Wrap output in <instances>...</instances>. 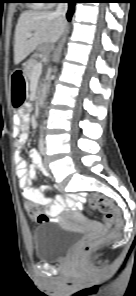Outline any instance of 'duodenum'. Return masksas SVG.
I'll return each instance as SVG.
<instances>
[{
	"mask_svg": "<svg viewBox=\"0 0 136 296\" xmlns=\"http://www.w3.org/2000/svg\"><path fill=\"white\" fill-rule=\"evenodd\" d=\"M38 105H42L43 104V97L40 96L37 100Z\"/></svg>",
	"mask_w": 136,
	"mask_h": 296,
	"instance_id": "410a0bca",
	"label": "duodenum"
}]
</instances>
